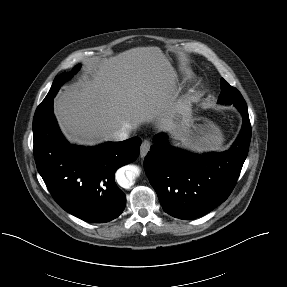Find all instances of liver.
<instances>
[{
    "label": "liver",
    "instance_id": "liver-1",
    "mask_svg": "<svg viewBox=\"0 0 287 287\" xmlns=\"http://www.w3.org/2000/svg\"><path fill=\"white\" fill-rule=\"evenodd\" d=\"M89 76L54 99L59 126L72 143L95 145L113 132L156 120L159 131L180 137L190 117L177 99L178 75L158 47H137L85 61Z\"/></svg>",
    "mask_w": 287,
    "mask_h": 287
}]
</instances>
